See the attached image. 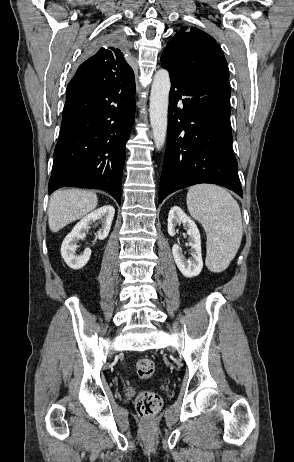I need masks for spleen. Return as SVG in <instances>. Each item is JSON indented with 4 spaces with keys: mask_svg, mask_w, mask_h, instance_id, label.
Segmentation results:
<instances>
[{
    "mask_svg": "<svg viewBox=\"0 0 294 462\" xmlns=\"http://www.w3.org/2000/svg\"><path fill=\"white\" fill-rule=\"evenodd\" d=\"M187 208L207 235L206 265L212 272L225 270L235 257L243 234L239 205L222 187L200 184L189 188Z\"/></svg>",
    "mask_w": 294,
    "mask_h": 462,
    "instance_id": "spleen-1",
    "label": "spleen"
}]
</instances>
